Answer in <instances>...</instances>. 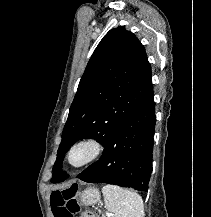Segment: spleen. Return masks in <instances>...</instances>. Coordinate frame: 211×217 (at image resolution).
<instances>
[{
    "mask_svg": "<svg viewBox=\"0 0 211 217\" xmlns=\"http://www.w3.org/2000/svg\"><path fill=\"white\" fill-rule=\"evenodd\" d=\"M102 193L105 207L113 217H144L143 200L136 192L108 184Z\"/></svg>",
    "mask_w": 211,
    "mask_h": 217,
    "instance_id": "3e777b00",
    "label": "spleen"
}]
</instances>
